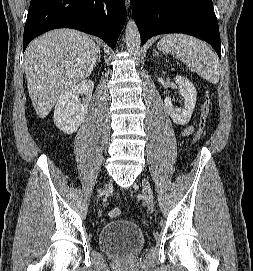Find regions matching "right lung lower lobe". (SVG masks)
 Returning a JSON list of instances; mask_svg holds the SVG:
<instances>
[{"instance_id":"98d812e1","label":"right lung lower lobe","mask_w":253,"mask_h":271,"mask_svg":"<svg viewBox=\"0 0 253 271\" xmlns=\"http://www.w3.org/2000/svg\"><path fill=\"white\" fill-rule=\"evenodd\" d=\"M125 23L124 0H31L23 51L35 37L55 28H74L115 47Z\"/></svg>"}]
</instances>
